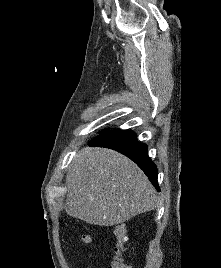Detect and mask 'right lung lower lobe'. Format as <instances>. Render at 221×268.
Instances as JSON below:
<instances>
[{"label": "right lung lower lobe", "instance_id": "right-lung-lower-lobe-1", "mask_svg": "<svg viewBox=\"0 0 221 268\" xmlns=\"http://www.w3.org/2000/svg\"><path fill=\"white\" fill-rule=\"evenodd\" d=\"M89 145L111 148L126 155L144 171L154 187L160 191L157 167L148 156L147 145L139 143L134 132L118 129L107 131L91 140Z\"/></svg>", "mask_w": 221, "mask_h": 268}]
</instances>
